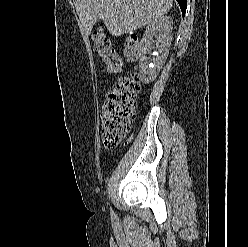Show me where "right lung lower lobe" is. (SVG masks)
Instances as JSON below:
<instances>
[{
	"label": "right lung lower lobe",
	"mask_w": 248,
	"mask_h": 247,
	"mask_svg": "<svg viewBox=\"0 0 248 247\" xmlns=\"http://www.w3.org/2000/svg\"><path fill=\"white\" fill-rule=\"evenodd\" d=\"M177 2L179 3V6L181 8L182 15L184 16L187 8V0H177Z\"/></svg>",
	"instance_id": "98d812e1"
}]
</instances>
